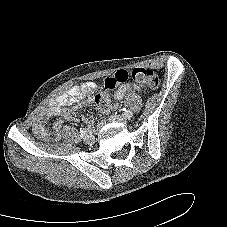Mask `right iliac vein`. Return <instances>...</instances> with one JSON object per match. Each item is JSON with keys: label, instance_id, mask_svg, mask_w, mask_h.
Returning <instances> with one entry per match:
<instances>
[{"label": "right iliac vein", "instance_id": "right-iliac-vein-1", "mask_svg": "<svg viewBox=\"0 0 227 227\" xmlns=\"http://www.w3.org/2000/svg\"><path fill=\"white\" fill-rule=\"evenodd\" d=\"M84 141L87 144H92L94 142V136L91 133H89L84 137Z\"/></svg>", "mask_w": 227, "mask_h": 227}]
</instances>
